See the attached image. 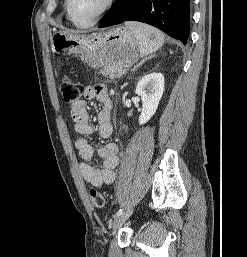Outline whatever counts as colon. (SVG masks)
<instances>
[{
	"mask_svg": "<svg viewBox=\"0 0 247 257\" xmlns=\"http://www.w3.org/2000/svg\"><path fill=\"white\" fill-rule=\"evenodd\" d=\"M60 87L63 99L66 103L73 104L77 102L82 94V87L69 76H64L60 81ZM90 199L94 207L103 208L105 199L101 192L96 189L90 190Z\"/></svg>",
	"mask_w": 247,
	"mask_h": 257,
	"instance_id": "5ec220e1",
	"label": "colon"
}]
</instances>
